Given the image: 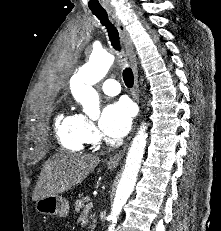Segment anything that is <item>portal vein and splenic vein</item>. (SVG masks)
Returning <instances> with one entry per match:
<instances>
[{"mask_svg":"<svg viewBox=\"0 0 221 231\" xmlns=\"http://www.w3.org/2000/svg\"><path fill=\"white\" fill-rule=\"evenodd\" d=\"M93 207V203L92 202H88V204L86 205L85 209L88 210L90 208Z\"/></svg>","mask_w":221,"mask_h":231,"instance_id":"1","label":"portal vein and splenic vein"}]
</instances>
